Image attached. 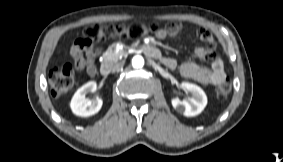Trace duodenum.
<instances>
[{
    "instance_id": "1",
    "label": "duodenum",
    "mask_w": 283,
    "mask_h": 162,
    "mask_svg": "<svg viewBox=\"0 0 283 162\" xmlns=\"http://www.w3.org/2000/svg\"><path fill=\"white\" fill-rule=\"evenodd\" d=\"M144 53L152 58H161L160 51L152 44H145L142 46ZM111 72V64L109 62H104L101 65V74L108 75Z\"/></svg>"
}]
</instances>
